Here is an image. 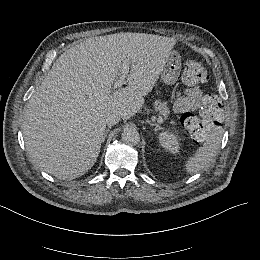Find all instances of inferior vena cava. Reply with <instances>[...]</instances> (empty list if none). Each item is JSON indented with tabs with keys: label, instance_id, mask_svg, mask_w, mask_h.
<instances>
[{
	"label": "inferior vena cava",
	"instance_id": "1",
	"mask_svg": "<svg viewBox=\"0 0 260 260\" xmlns=\"http://www.w3.org/2000/svg\"><path fill=\"white\" fill-rule=\"evenodd\" d=\"M120 121V116L116 112H111L107 115L105 123L107 126H113Z\"/></svg>",
	"mask_w": 260,
	"mask_h": 260
}]
</instances>
